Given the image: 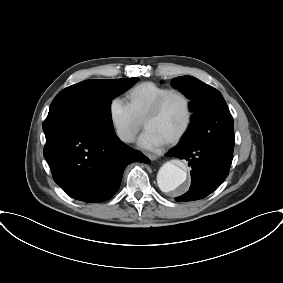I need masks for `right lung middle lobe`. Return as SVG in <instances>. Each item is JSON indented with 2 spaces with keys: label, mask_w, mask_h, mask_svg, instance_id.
I'll list each match as a JSON object with an SVG mask.
<instances>
[{
  "label": "right lung middle lobe",
  "mask_w": 283,
  "mask_h": 283,
  "mask_svg": "<svg viewBox=\"0 0 283 283\" xmlns=\"http://www.w3.org/2000/svg\"><path fill=\"white\" fill-rule=\"evenodd\" d=\"M136 77L86 80L65 88L51 103L43 123L45 137L61 130L113 131L111 100L131 88Z\"/></svg>",
  "instance_id": "obj_1"
}]
</instances>
